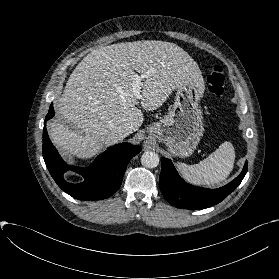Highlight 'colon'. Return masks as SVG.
<instances>
[{
  "label": "colon",
  "mask_w": 279,
  "mask_h": 279,
  "mask_svg": "<svg viewBox=\"0 0 279 279\" xmlns=\"http://www.w3.org/2000/svg\"><path fill=\"white\" fill-rule=\"evenodd\" d=\"M225 75L219 65L213 66L207 74L208 90L214 96H221L224 92Z\"/></svg>",
  "instance_id": "obj_1"
}]
</instances>
